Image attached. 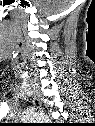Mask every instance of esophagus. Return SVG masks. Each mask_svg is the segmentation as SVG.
<instances>
[{
  "label": "esophagus",
  "mask_w": 95,
  "mask_h": 126,
  "mask_svg": "<svg viewBox=\"0 0 95 126\" xmlns=\"http://www.w3.org/2000/svg\"><path fill=\"white\" fill-rule=\"evenodd\" d=\"M34 104L37 108H40V106H41V102H40L39 98L36 96L34 97Z\"/></svg>",
  "instance_id": "esophagus-1"
}]
</instances>
